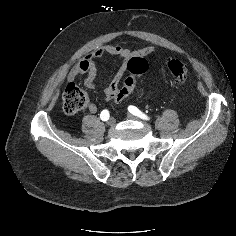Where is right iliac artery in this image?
<instances>
[{
	"label": "right iliac artery",
	"instance_id": "1",
	"mask_svg": "<svg viewBox=\"0 0 236 236\" xmlns=\"http://www.w3.org/2000/svg\"><path fill=\"white\" fill-rule=\"evenodd\" d=\"M110 117L109 111L108 110H103L100 114V118L102 121H107Z\"/></svg>",
	"mask_w": 236,
	"mask_h": 236
}]
</instances>
